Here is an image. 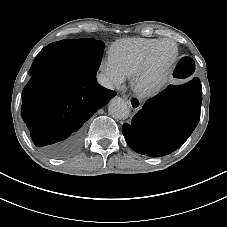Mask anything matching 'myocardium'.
<instances>
[{"mask_svg": "<svg viewBox=\"0 0 227 227\" xmlns=\"http://www.w3.org/2000/svg\"><path fill=\"white\" fill-rule=\"evenodd\" d=\"M164 43H172L175 47V54L172 57V59L169 61L165 69L162 71V73L159 75L157 79L152 81L149 84H143L140 81V77L149 69L151 66L155 54L158 50V48L164 44ZM179 46L178 44L170 39V38H164L159 40L146 54L145 58L133 69L130 75L131 79V85L137 93L141 95H152L157 93L162 87L167 83L168 79L170 78L171 74L174 71V68L177 64V61L179 59Z\"/></svg>", "mask_w": 227, "mask_h": 227, "instance_id": "1", "label": "myocardium"}]
</instances>
